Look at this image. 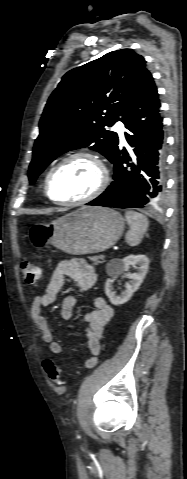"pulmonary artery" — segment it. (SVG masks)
<instances>
[{
  "mask_svg": "<svg viewBox=\"0 0 187 479\" xmlns=\"http://www.w3.org/2000/svg\"><path fill=\"white\" fill-rule=\"evenodd\" d=\"M114 130L118 132V134L120 135L121 137V141L123 143H125V138H124V125L121 121H118L115 125H114Z\"/></svg>",
  "mask_w": 187,
  "mask_h": 479,
  "instance_id": "1",
  "label": "pulmonary artery"
}]
</instances>
